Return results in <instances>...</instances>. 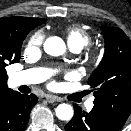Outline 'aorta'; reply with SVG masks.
Instances as JSON below:
<instances>
[{"instance_id": "762f6f07", "label": "aorta", "mask_w": 131, "mask_h": 131, "mask_svg": "<svg viewBox=\"0 0 131 131\" xmlns=\"http://www.w3.org/2000/svg\"><path fill=\"white\" fill-rule=\"evenodd\" d=\"M65 50V43L60 37H49L44 42V51L51 56H60L65 53ZM55 112L58 119L64 121L70 120L74 114L72 106L65 103L58 105Z\"/></svg>"}]
</instances>
